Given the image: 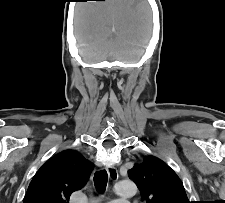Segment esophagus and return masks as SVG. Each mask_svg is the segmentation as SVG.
<instances>
[{"mask_svg": "<svg viewBox=\"0 0 225 203\" xmlns=\"http://www.w3.org/2000/svg\"><path fill=\"white\" fill-rule=\"evenodd\" d=\"M107 172H108V175L111 179V181L114 183L117 181L118 179V171L115 167L111 166V167H108L107 168Z\"/></svg>", "mask_w": 225, "mask_h": 203, "instance_id": "obj_1", "label": "esophagus"}]
</instances>
